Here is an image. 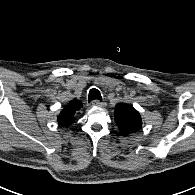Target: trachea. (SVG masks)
<instances>
[{
	"label": "trachea",
	"instance_id": "1",
	"mask_svg": "<svg viewBox=\"0 0 195 195\" xmlns=\"http://www.w3.org/2000/svg\"><path fill=\"white\" fill-rule=\"evenodd\" d=\"M93 100H102L101 94L98 89L92 88L89 91L88 101L91 102Z\"/></svg>",
	"mask_w": 195,
	"mask_h": 195
}]
</instances>
